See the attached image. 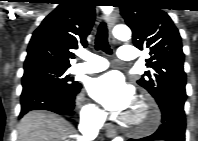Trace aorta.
<instances>
[{"label":"aorta","instance_id":"obj_1","mask_svg":"<svg viewBox=\"0 0 198 141\" xmlns=\"http://www.w3.org/2000/svg\"><path fill=\"white\" fill-rule=\"evenodd\" d=\"M113 35L119 40H129L131 38V30L126 25H117L113 29ZM113 141H124L122 137L118 136Z\"/></svg>","mask_w":198,"mask_h":141}]
</instances>
